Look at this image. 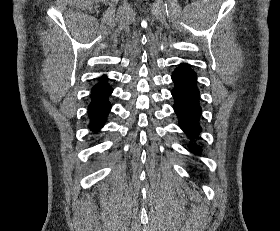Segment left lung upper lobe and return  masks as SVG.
Returning a JSON list of instances; mask_svg holds the SVG:
<instances>
[{
	"instance_id": "5c2ea615",
	"label": "left lung upper lobe",
	"mask_w": 280,
	"mask_h": 231,
	"mask_svg": "<svg viewBox=\"0 0 280 231\" xmlns=\"http://www.w3.org/2000/svg\"><path fill=\"white\" fill-rule=\"evenodd\" d=\"M179 66H180V67H183V68H190V66L187 65V64H180Z\"/></svg>"
}]
</instances>
